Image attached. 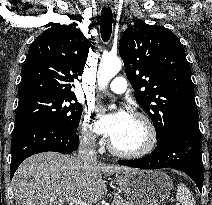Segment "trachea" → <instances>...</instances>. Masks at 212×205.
<instances>
[{
    "instance_id": "obj_1",
    "label": "trachea",
    "mask_w": 212,
    "mask_h": 205,
    "mask_svg": "<svg viewBox=\"0 0 212 205\" xmlns=\"http://www.w3.org/2000/svg\"><path fill=\"white\" fill-rule=\"evenodd\" d=\"M113 15L109 7H103L101 11L100 33L103 41L107 42L110 39L112 32Z\"/></svg>"
}]
</instances>
